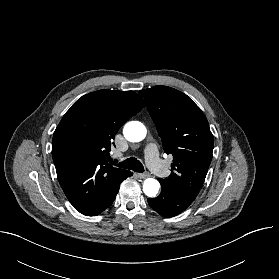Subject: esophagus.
Instances as JSON below:
<instances>
[{"label": "esophagus", "mask_w": 279, "mask_h": 279, "mask_svg": "<svg viewBox=\"0 0 279 279\" xmlns=\"http://www.w3.org/2000/svg\"><path fill=\"white\" fill-rule=\"evenodd\" d=\"M137 176L141 179L147 178L150 176V174L148 172L145 173H138Z\"/></svg>", "instance_id": "34e87169"}]
</instances>
